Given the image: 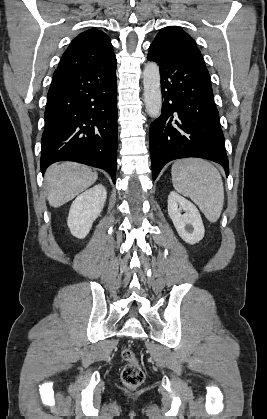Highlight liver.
Segmentation results:
<instances>
[{
  "mask_svg": "<svg viewBox=\"0 0 267 419\" xmlns=\"http://www.w3.org/2000/svg\"><path fill=\"white\" fill-rule=\"evenodd\" d=\"M97 172L74 162L56 163L45 174L49 186L48 202L55 208L62 206L96 182Z\"/></svg>",
  "mask_w": 267,
  "mask_h": 419,
  "instance_id": "obj_1",
  "label": "liver"
}]
</instances>
